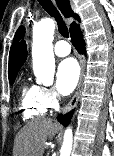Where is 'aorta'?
<instances>
[{
  "label": "aorta",
  "mask_w": 114,
  "mask_h": 156,
  "mask_svg": "<svg viewBox=\"0 0 114 156\" xmlns=\"http://www.w3.org/2000/svg\"><path fill=\"white\" fill-rule=\"evenodd\" d=\"M54 30L55 22L49 18L38 23L33 29V70L37 82L44 85H51L54 77L55 59L52 46ZM72 137V129L68 127L64 134L60 156H70Z\"/></svg>",
  "instance_id": "1"
}]
</instances>
